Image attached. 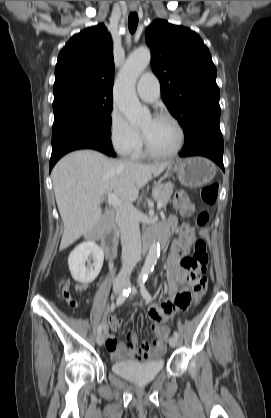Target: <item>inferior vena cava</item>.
<instances>
[{
    "instance_id": "obj_1",
    "label": "inferior vena cava",
    "mask_w": 271,
    "mask_h": 418,
    "mask_svg": "<svg viewBox=\"0 0 271 418\" xmlns=\"http://www.w3.org/2000/svg\"><path fill=\"white\" fill-rule=\"evenodd\" d=\"M116 223L121 233L122 269L115 279V284L129 282V276L141 252V238L135 209L131 202H125L116 211Z\"/></svg>"
}]
</instances>
